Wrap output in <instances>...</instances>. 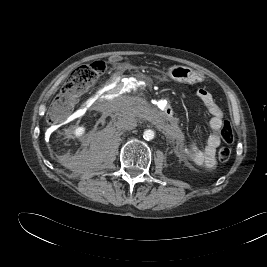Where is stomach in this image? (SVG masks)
I'll return each mask as SVG.
<instances>
[{
  "instance_id": "obj_1",
  "label": "stomach",
  "mask_w": 267,
  "mask_h": 267,
  "mask_svg": "<svg viewBox=\"0 0 267 267\" xmlns=\"http://www.w3.org/2000/svg\"><path fill=\"white\" fill-rule=\"evenodd\" d=\"M168 76L181 83H197L203 81V76L192 68L182 65H174L168 69Z\"/></svg>"
}]
</instances>
